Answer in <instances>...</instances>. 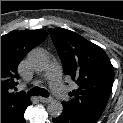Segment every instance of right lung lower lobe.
I'll use <instances>...</instances> for the list:
<instances>
[{"label":"right lung lower lobe","instance_id":"right-lung-lower-lobe-1","mask_svg":"<svg viewBox=\"0 0 123 123\" xmlns=\"http://www.w3.org/2000/svg\"><path fill=\"white\" fill-rule=\"evenodd\" d=\"M31 104V102H30ZM25 111V110H24ZM24 111L14 115V116H5L1 118V123H26L23 115H24Z\"/></svg>","mask_w":123,"mask_h":123}]
</instances>
